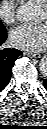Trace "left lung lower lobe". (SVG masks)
<instances>
[{
  "label": "left lung lower lobe",
  "instance_id": "1",
  "mask_svg": "<svg viewBox=\"0 0 47 129\" xmlns=\"http://www.w3.org/2000/svg\"><path fill=\"white\" fill-rule=\"evenodd\" d=\"M44 86H45V88L47 89V79H44Z\"/></svg>",
  "mask_w": 47,
  "mask_h": 129
}]
</instances>
